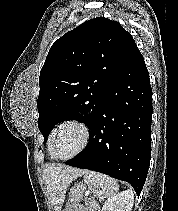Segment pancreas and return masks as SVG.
Segmentation results:
<instances>
[{
    "mask_svg": "<svg viewBox=\"0 0 178 211\" xmlns=\"http://www.w3.org/2000/svg\"><path fill=\"white\" fill-rule=\"evenodd\" d=\"M90 204H91V206L94 207V209L98 208V204L95 202V200H90ZM92 211H96V210H92Z\"/></svg>",
    "mask_w": 178,
    "mask_h": 211,
    "instance_id": "pancreas-1",
    "label": "pancreas"
}]
</instances>
